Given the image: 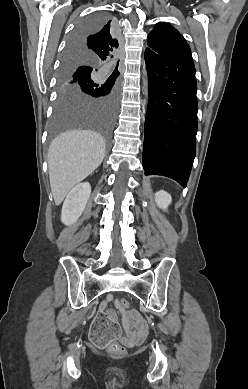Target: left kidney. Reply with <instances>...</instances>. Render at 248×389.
Here are the masks:
<instances>
[{
  "label": "left kidney",
  "instance_id": "5707ae66",
  "mask_svg": "<svg viewBox=\"0 0 248 389\" xmlns=\"http://www.w3.org/2000/svg\"><path fill=\"white\" fill-rule=\"evenodd\" d=\"M155 200L157 205L163 210H166L172 202L171 195L163 190L156 192Z\"/></svg>",
  "mask_w": 248,
  "mask_h": 389
}]
</instances>
